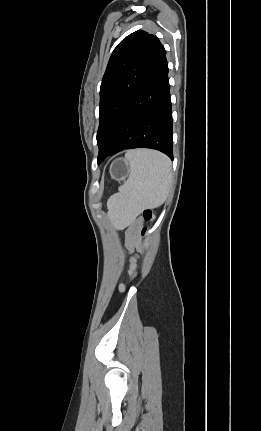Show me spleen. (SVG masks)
I'll use <instances>...</instances> for the list:
<instances>
[{"mask_svg":"<svg viewBox=\"0 0 261 431\" xmlns=\"http://www.w3.org/2000/svg\"><path fill=\"white\" fill-rule=\"evenodd\" d=\"M125 158L129 177L109 199L110 212L117 216H137L145 209L161 206L172 182L170 159L147 149L128 151Z\"/></svg>","mask_w":261,"mask_h":431,"instance_id":"obj_1","label":"spleen"}]
</instances>
